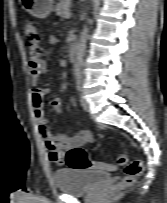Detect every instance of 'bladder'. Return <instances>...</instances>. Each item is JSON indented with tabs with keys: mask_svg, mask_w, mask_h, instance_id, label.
<instances>
[{
	"mask_svg": "<svg viewBox=\"0 0 167 203\" xmlns=\"http://www.w3.org/2000/svg\"><path fill=\"white\" fill-rule=\"evenodd\" d=\"M111 179L108 172L98 170L57 169L53 173L56 188L66 194L80 195L88 193L100 184Z\"/></svg>",
	"mask_w": 167,
	"mask_h": 203,
	"instance_id": "1",
	"label": "bladder"
}]
</instances>
